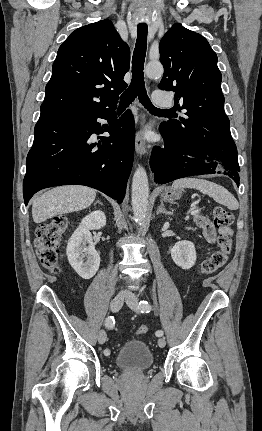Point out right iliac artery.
I'll return each instance as SVG.
<instances>
[{"label":"right iliac artery","instance_id":"right-iliac-artery-1","mask_svg":"<svg viewBox=\"0 0 262 431\" xmlns=\"http://www.w3.org/2000/svg\"><path fill=\"white\" fill-rule=\"evenodd\" d=\"M114 325H115V319H114V317H113V316H110V317L106 318V320H105V326H106L107 328L111 329V328H113V327H114ZM104 354H105V355H109V354H110V351H109L108 349H106V350L104 351Z\"/></svg>","mask_w":262,"mask_h":431}]
</instances>
